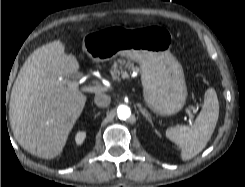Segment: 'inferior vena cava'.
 Returning <instances> with one entry per match:
<instances>
[{"instance_id": "obj_1", "label": "inferior vena cava", "mask_w": 245, "mask_h": 187, "mask_svg": "<svg viewBox=\"0 0 245 187\" xmlns=\"http://www.w3.org/2000/svg\"><path fill=\"white\" fill-rule=\"evenodd\" d=\"M94 101L98 107H107L110 104L111 99L106 94L98 93L95 95Z\"/></svg>"}]
</instances>
